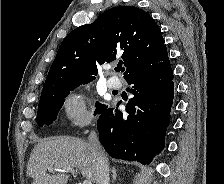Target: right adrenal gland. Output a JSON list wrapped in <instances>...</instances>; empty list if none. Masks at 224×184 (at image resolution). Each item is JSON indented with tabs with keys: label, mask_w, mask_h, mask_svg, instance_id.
<instances>
[{
	"label": "right adrenal gland",
	"mask_w": 224,
	"mask_h": 184,
	"mask_svg": "<svg viewBox=\"0 0 224 184\" xmlns=\"http://www.w3.org/2000/svg\"><path fill=\"white\" fill-rule=\"evenodd\" d=\"M111 172H112V183H114L116 181V178H117L116 169L114 167H112Z\"/></svg>",
	"instance_id": "2a0ac1e0"
}]
</instances>
